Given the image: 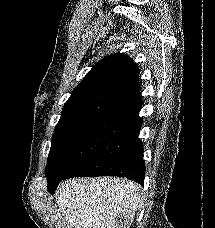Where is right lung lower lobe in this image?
I'll use <instances>...</instances> for the list:
<instances>
[{"mask_svg":"<svg viewBox=\"0 0 215 228\" xmlns=\"http://www.w3.org/2000/svg\"><path fill=\"white\" fill-rule=\"evenodd\" d=\"M141 126L142 120L129 125L72 168L62 180L71 177L120 176L143 186L145 178L143 144L138 138ZM54 191L51 194H54Z\"/></svg>","mask_w":215,"mask_h":228,"instance_id":"1","label":"right lung lower lobe"}]
</instances>
